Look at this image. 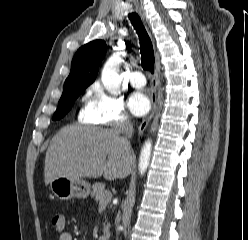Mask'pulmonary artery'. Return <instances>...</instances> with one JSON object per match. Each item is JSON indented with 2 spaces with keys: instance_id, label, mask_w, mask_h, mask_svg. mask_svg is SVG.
I'll use <instances>...</instances> for the list:
<instances>
[{
  "instance_id": "pulmonary-artery-1",
  "label": "pulmonary artery",
  "mask_w": 248,
  "mask_h": 240,
  "mask_svg": "<svg viewBox=\"0 0 248 240\" xmlns=\"http://www.w3.org/2000/svg\"><path fill=\"white\" fill-rule=\"evenodd\" d=\"M130 83L133 87L141 88L145 85V76L140 71H133L130 73Z\"/></svg>"
}]
</instances>
